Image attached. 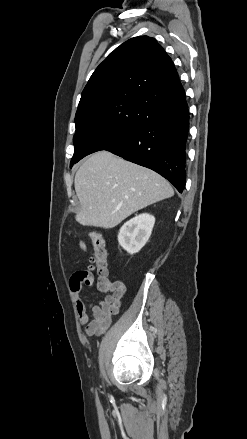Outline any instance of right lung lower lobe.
I'll use <instances>...</instances> for the list:
<instances>
[{
    "mask_svg": "<svg viewBox=\"0 0 247 439\" xmlns=\"http://www.w3.org/2000/svg\"><path fill=\"white\" fill-rule=\"evenodd\" d=\"M188 128L189 113L183 93L154 106L131 133L106 150L156 171L181 193L186 183Z\"/></svg>",
    "mask_w": 247,
    "mask_h": 439,
    "instance_id": "1",
    "label": "right lung lower lobe"
}]
</instances>
